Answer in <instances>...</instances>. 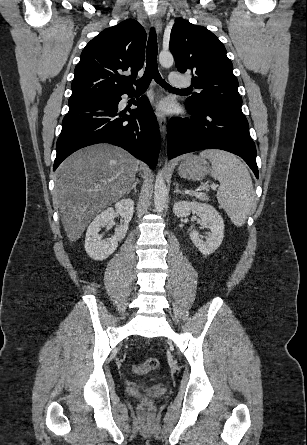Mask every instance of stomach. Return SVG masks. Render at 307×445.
Here are the masks:
<instances>
[{
    "label": "stomach",
    "mask_w": 307,
    "mask_h": 445,
    "mask_svg": "<svg viewBox=\"0 0 307 445\" xmlns=\"http://www.w3.org/2000/svg\"><path fill=\"white\" fill-rule=\"evenodd\" d=\"M180 176L183 178H192V180H202L210 170V164L206 158H200L195 154H188L183 162L177 168Z\"/></svg>",
    "instance_id": "0dacf381"
}]
</instances>
